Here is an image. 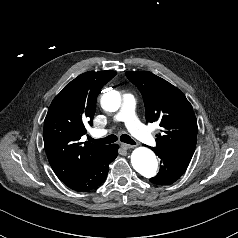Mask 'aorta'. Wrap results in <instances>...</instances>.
Returning <instances> with one entry per match:
<instances>
[{"label": "aorta", "mask_w": 238, "mask_h": 238, "mask_svg": "<svg viewBox=\"0 0 238 238\" xmlns=\"http://www.w3.org/2000/svg\"><path fill=\"white\" fill-rule=\"evenodd\" d=\"M120 103V94L115 90L103 94L101 98V105L103 109L109 112L117 111L120 107ZM131 163L133 168L146 178L155 176L157 172V159L155 154L148 148H136L132 152Z\"/></svg>", "instance_id": "1"}]
</instances>
